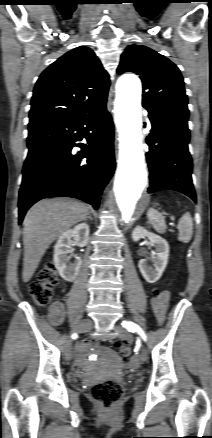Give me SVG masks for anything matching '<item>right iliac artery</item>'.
Segmentation results:
<instances>
[{"instance_id": "right-iliac-artery-1", "label": "right iliac artery", "mask_w": 212, "mask_h": 438, "mask_svg": "<svg viewBox=\"0 0 212 438\" xmlns=\"http://www.w3.org/2000/svg\"><path fill=\"white\" fill-rule=\"evenodd\" d=\"M72 338H77V334L76 333H74V334H72Z\"/></svg>"}]
</instances>
